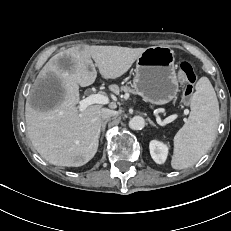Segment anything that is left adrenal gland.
Wrapping results in <instances>:
<instances>
[{
	"instance_id": "left-adrenal-gland-1",
	"label": "left adrenal gland",
	"mask_w": 231,
	"mask_h": 231,
	"mask_svg": "<svg viewBox=\"0 0 231 231\" xmlns=\"http://www.w3.org/2000/svg\"><path fill=\"white\" fill-rule=\"evenodd\" d=\"M148 122H149L152 126H155V127H156L155 123H154L151 119H148Z\"/></svg>"
}]
</instances>
